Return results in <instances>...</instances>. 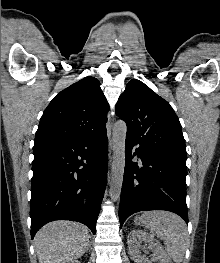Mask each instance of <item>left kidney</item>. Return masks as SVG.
Segmentation results:
<instances>
[{
	"mask_svg": "<svg viewBox=\"0 0 220 263\" xmlns=\"http://www.w3.org/2000/svg\"><path fill=\"white\" fill-rule=\"evenodd\" d=\"M142 242L148 243L153 250V261L158 263H172L161 244L153 236L140 230H133L128 235V252L132 260L137 263H145L144 258L139 252Z\"/></svg>",
	"mask_w": 220,
	"mask_h": 263,
	"instance_id": "left-kidney-1",
	"label": "left kidney"
}]
</instances>
